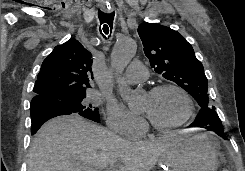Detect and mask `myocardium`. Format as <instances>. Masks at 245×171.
Instances as JSON below:
<instances>
[{"label": "myocardium", "mask_w": 245, "mask_h": 171, "mask_svg": "<svg viewBox=\"0 0 245 171\" xmlns=\"http://www.w3.org/2000/svg\"><path fill=\"white\" fill-rule=\"evenodd\" d=\"M168 89H173V90L178 91L185 98L188 108H187V112L185 116L180 121L173 123V124L161 125V124L156 123L149 117H147L149 124L158 131H171V130H174V129H177L183 126L192 118L194 111H195V105H194L193 98L183 87L177 84L163 83L160 85H156L148 91V94L154 95V94H157L161 91L168 90Z\"/></svg>", "instance_id": "myocardium-1"}]
</instances>
